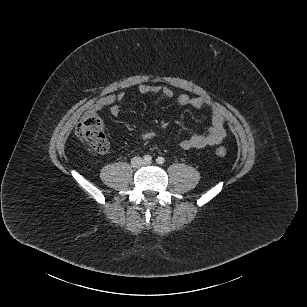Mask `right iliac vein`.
Segmentation results:
<instances>
[{
    "mask_svg": "<svg viewBox=\"0 0 307 307\" xmlns=\"http://www.w3.org/2000/svg\"><path fill=\"white\" fill-rule=\"evenodd\" d=\"M134 167H139L141 165V160L140 159H134L132 162Z\"/></svg>",
    "mask_w": 307,
    "mask_h": 307,
    "instance_id": "1",
    "label": "right iliac vein"
}]
</instances>
